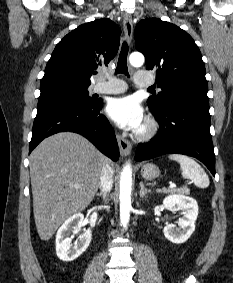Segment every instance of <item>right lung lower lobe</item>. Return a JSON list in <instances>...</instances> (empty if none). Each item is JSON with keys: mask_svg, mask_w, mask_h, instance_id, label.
I'll return each instance as SVG.
<instances>
[{"mask_svg": "<svg viewBox=\"0 0 233 283\" xmlns=\"http://www.w3.org/2000/svg\"><path fill=\"white\" fill-rule=\"evenodd\" d=\"M102 105V100L89 104L63 97L39 99L29 153L46 137L70 131L83 135L102 153L117 161V140L109 121L100 114Z\"/></svg>", "mask_w": 233, "mask_h": 283, "instance_id": "right-lung-lower-lobe-1", "label": "right lung lower lobe"}]
</instances>
